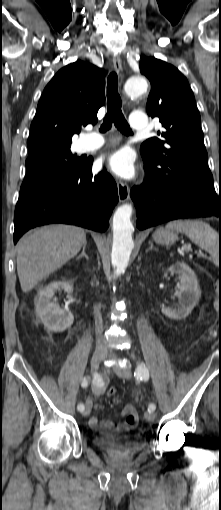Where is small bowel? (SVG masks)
<instances>
[{"mask_svg": "<svg viewBox=\"0 0 221 510\" xmlns=\"http://www.w3.org/2000/svg\"><path fill=\"white\" fill-rule=\"evenodd\" d=\"M101 392H102L101 386L95 388V393L97 395L101 394ZM102 409H103L102 404H96L94 406L95 411H101ZM132 411H135V408L132 405H126L122 410L121 415L127 416ZM89 425L91 428L103 433L128 431L134 427L132 425L127 424L126 422L119 425H115L111 421H100L96 416L90 417Z\"/></svg>", "mask_w": 221, "mask_h": 510, "instance_id": "obj_1", "label": "small bowel"}]
</instances>
